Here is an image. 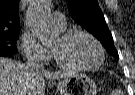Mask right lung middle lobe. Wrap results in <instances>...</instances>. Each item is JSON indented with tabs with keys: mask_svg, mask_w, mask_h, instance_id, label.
<instances>
[{
	"mask_svg": "<svg viewBox=\"0 0 135 95\" xmlns=\"http://www.w3.org/2000/svg\"><path fill=\"white\" fill-rule=\"evenodd\" d=\"M19 30L0 32V56H11L16 53V42Z\"/></svg>",
	"mask_w": 135,
	"mask_h": 95,
	"instance_id": "1",
	"label": "right lung middle lobe"
}]
</instances>
